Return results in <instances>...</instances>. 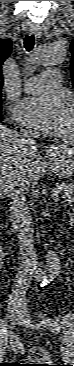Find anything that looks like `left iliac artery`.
I'll return each mask as SVG.
<instances>
[{
  "mask_svg": "<svg viewBox=\"0 0 74 366\" xmlns=\"http://www.w3.org/2000/svg\"><path fill=\"white\" fill-rule=\"evenodd\" d=\"M41 324L51 329L52 332H56L59 330V324L54 319L45 318L41 321Z\"/></svg>",
  "mask_w": 74,
  "mask_h": 366,
  "instance_id": "1",
  "label": "left iliac artery"
}]
</instances>
